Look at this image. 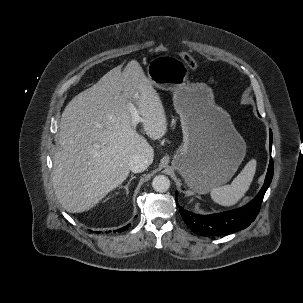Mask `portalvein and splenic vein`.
<instances>
[{
    "label": "portal vein and splenic vein",
    "instance_id": "1",
    "mask_svg": "<svg viewBox=\"0 0 303 303\" xmlns=\"http://www.w3.org/2000/svg\"><path fill=\"white\" fill-rule=\"evenodd\" d=\"M128 108L131 112L132 123L134 126H136L139 122L143 121V119L139 116V113L133 103H129Z\"/></svg>",
    "mask_w": 303,
    "mask_h": 303
}]
</instances>
